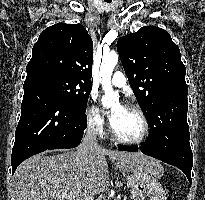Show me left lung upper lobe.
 I'll list each match as a JSON object with an SVG mask.
<instances>
[{"label":"left lung upper lobe","mask_w":205,"mask_h":200,"mask_svg":"<svg viewBox=\"0 0 205 200\" xmlns=\"http://www.w3.org/2000/svg\"><path fill=\"white\" fill-rule=\"evenodd\" d=\"M123 68L149 127L163 120L156 113L160 99L177 93H188L186 68L180 50L170 34L156 26L142 27L117 41ZM163 113L162 116H166Z\"/></svg>","instance_id":"5c2ea615"}]
</instances>
